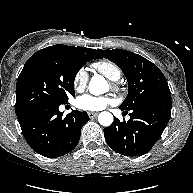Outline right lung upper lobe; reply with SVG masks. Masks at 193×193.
I'll list each match as a JSON object with an SVG mask.
<instances>
[{
  "mask_svg": "<svg viewBox=\"0 0 193 193\" xmlns=\"http://www.w3.org/2000/svg\"><path fill=\"white\" fill-rule=\"evenodd\" d=\"M98 51L95 49L84 48V47L54 45V46H50V47H46L44 49H41L37 53L57 52V53L73 54V55H77V56H81V57H85V58L99 59L102 57Z\"/></svg>",
  "mask_w": 193,
  "mask_h": 193,
  "instance_id": "right-lung-upper-lobe-1",
  "label": "right lung upper lobe"
}]
</instances>
